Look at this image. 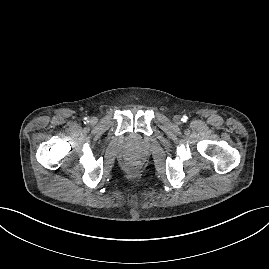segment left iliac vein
<instances>
[{"label":"left iliac vein","instance_id":"left-iliac-vein-1","mask_svg":"<svg viewBox=\"0 0 269 269\" xmlns=\"http://www.w3.org/2000/svg\"><path fill=\"white\" fill-rule=\"evenodd\" d=\"M174 122L176 123V124H180L181 123V118H180V116H174Z\"/></svg>","mask_w":269,"mask_h":269}]
</instances>
